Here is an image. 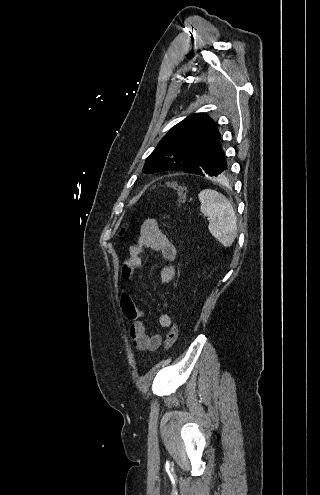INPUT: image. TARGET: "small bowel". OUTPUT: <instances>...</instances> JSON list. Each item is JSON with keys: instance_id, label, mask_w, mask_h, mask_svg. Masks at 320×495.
Here are the masks:
<instances>
[{"instance_id": "obj_1", "label": "small bowel", "mask_w": 320, "mask_h": 495, "mask_svg": "<svg viewBox=\"0 0 320 495\" xmlns=\"http://www.w3.org/2000/svg\"><path fill=\"white\" fill-rule=\"evenodd\" d=\"M145 249L162 255L166 263L161 268L160 280L162 283H169L176 273L173 262L177 257V247L174 241L161 230L155 218L143 222L140 235L131 243L129 259L122 269L123 275L128 277L133 270L144 266ZM167 306V303H164V307ZM121 307L124 315L131 321L129 335L134 347L140 351H156L162 343V337L160 334H149L143 309L128 295H122ZM158 321L163 328H169L172 325V318L167 314H161Z\"/></svg>"}]
</instances>
